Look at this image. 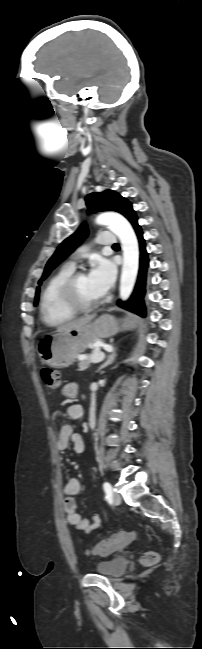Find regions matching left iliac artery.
<instances>
[{
	"mask_svg": "<svg viewBox=\"0 0 202 649\" xmlns=\"http://www.w3.org/2000/svg\"><path fill=\"white\" fill-rule=\"evenodd\" d=\"M103 488H104V491L106 493L107 498H111L112 497V487H111L110 483L105 482L103 484Z\"/></svg>",
	"mask_w": 202,
	"mask_h": 649,
	"instance_id": "1",
	"label": "left iliac artery"
}]
</instances>
